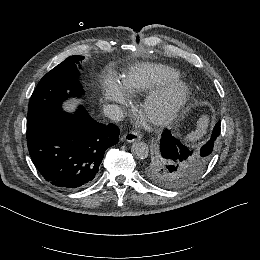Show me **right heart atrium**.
<instances>
[{"mask_svg": "<svg viewBox=\"0 0 260 260\" xmlns=\"http://www.w3.org/2000/svg\"><path fill=\"white\" fill-rule=\"evenodd\" d=\"M99 92L105 100H113L120 98V94L116 90L110 77H105L99 86ZM127 101V100H126Z\"/></svg>", "mask_w": 260, "mask_h": 260, "instance_id": "right-heart-atrium-1", "label": "right heart atrium"}]
</instances>
